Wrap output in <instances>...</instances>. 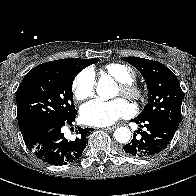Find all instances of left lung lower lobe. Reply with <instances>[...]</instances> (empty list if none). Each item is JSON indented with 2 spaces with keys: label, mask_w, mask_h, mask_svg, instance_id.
Returning <instances> with one entry per match:
<instances>
[{
  "label": "left lung lower lobe",
  "mask_w": 196,
  "mask_h": 196,
  "mask_svg": "<svg viewBox=\"0 0 196 196\" xmlns=\"http://www.w3.org/2000/svg\"><path fill=\"white\" fill-rule=\"evenodd\" d=\"M132 121L145 130L139 129L141 136L138 137L136 133L139 131H136L131 142L123 146L122 153L130 157L146 158L161 152L170 144L177 130L157 118H134Z\"/></svg>",
  "instance_id": "1"
}]
</instances>
